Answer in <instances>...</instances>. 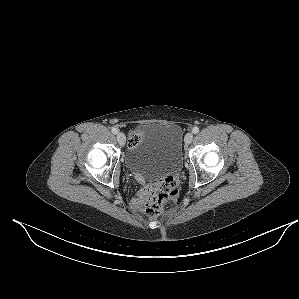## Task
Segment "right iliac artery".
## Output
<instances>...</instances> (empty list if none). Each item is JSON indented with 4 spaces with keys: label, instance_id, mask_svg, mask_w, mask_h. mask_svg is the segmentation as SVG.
<instances>
[{
    "label": "right iliac artery",
    "instance_id": "82829eb1",
    "mask_svg": "<svg viewBox=\"0 0 299 299\" xmlns=\"http://www.w3.org/2000/svg\"><path fill=\"white\" fill-rule=\"evenodd\" d=\"M112 133H113V134H117V133H118V129H117L116 127H113V128H112Z\"/></svg>",
    "mask_w": 299,
    "mask_h": 299
}]
</instances>
